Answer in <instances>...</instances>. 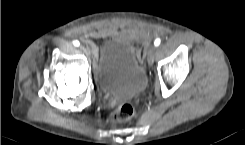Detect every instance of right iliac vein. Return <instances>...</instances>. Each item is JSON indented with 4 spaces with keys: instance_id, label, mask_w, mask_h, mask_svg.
<instances>
[{
    "instance_id": "1",
    "label": "right iliac vein",
    "mask_w": 245,
    "mask_h": 145,
    "mask_svg": "<svg viewBox=\"0 0 245 145\" xmlns=\"http://www.w3.org/2000/svg\"><path fill=\"white\" fill-rule=\"evenodd\" d=\"M79 48H80V50H82V51H86V48H85L83 45H80Z\"/></svg>"
}]
</instances>
